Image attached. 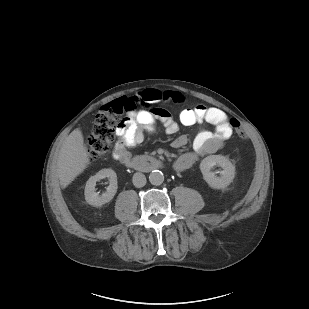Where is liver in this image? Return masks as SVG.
<instances>
[{
    "instance_id": "liver-1",
    "label": "liver",
    "mask_w": 309,
    "mask_h": 309,
    "mask_svg": "<svg viewBox=\"0 0 309 309\" xmlns=\"http://www.w3.org/2000/svg\"><path fill=\"white\" fill-rule=\"evenodd\" d=\"M89 164V154L79 128L73 130L60 148L57 168L60 185L66 188Z\"/></svg>"
}]
</instances>
